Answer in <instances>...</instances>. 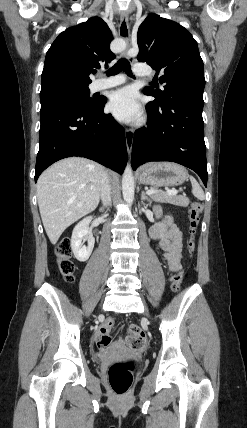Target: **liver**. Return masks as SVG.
<instances>
[{
  "label": "liver",
  "instance_id": "liver-1",
  "mask_svg": "<svg viewBox=\"0 0 247 428\" xmlns=\"http://www.w3.org/2000/svg\"><path fill=\"white\" fill-rule=\"evenodd\" d=\"M103 168L91 160L71 157L45 170L37 181V199L52 244L71 224L94 211L101 195Z\"/></svg>",
  "mask_w": 247,
  "mask_h": 428
}]
</instances>
